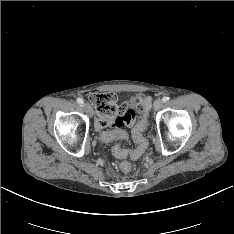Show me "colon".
Returning <instances> with one entry per match:
<instances>
[{
    "label": "colon",
    "mask_w": 234,
    "mask_h": 234,
    "mask_svg": "<svg viewBox=\"0 0 234 234\" xmlns=\"http://www.w3.org/2000/svg\"><path fill=\"white\" fill-rule=\"evenodd\" d=\"M89 100L98 113V120L96 123L97 128L101 129L108 126L107 131L102 132L100 135L101 141L103 143L117 142L113 145L111 151L118 159H138L146 148V140L143 136V131L146 124L145 115L149 113L148 108L152 105L151 95L146 94L143 97V117L134 128L132 134V137L137 143V146L134 149H127L121 145L128 144L131 135L129 132L125 131L124 127H122L127 121V114L123 109L119 108L115 95L111 93L92 94L89 97ZM121 169L124 172H130L132 170V165L129 162H123L121 164Z\"/></svg>",
    "instance_id": "1"
}]
</instances>
